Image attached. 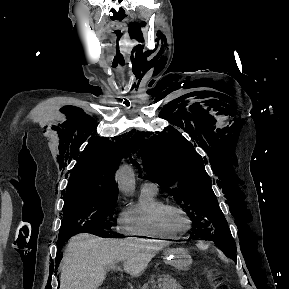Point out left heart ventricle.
<instances>
[{"instance_id":"obj_1","label":"left heart ventricle","mask_w":289,"mask_h":289,"mask_svg":"<svg viewBox=\"0 0 289 289\" xmlns=\"http://www.w3.org/2000/svg\"><path fill=\"white\" fill-rule=\"evenodd\" d=\"M166 223L173 231H182L187 227L185 217L176 211H170L166 214Z\"/></svg>"}]
</instances>
